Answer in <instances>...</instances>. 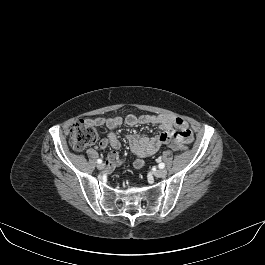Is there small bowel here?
Returning a JSON list of instances; mask_svg holds the SVG:
<instances>
[{"mask_svg":"<svg viewBox=\"0 0 265 265\" xmlns=\"http://www.w3.org/2000/svg\"><path fill=\"white\" fill-rule=\"evenodd\" d=\"M88 122L93 126H105L110 130L108 135L100 141L99 147L105 149L107 146H110L114 150L108 155V162L111 167L118 166L122 163V160L116 152L121 144L117 135L114 133V129L122 125L123 122L129 126L156 125L159 130V133L153 137L137 134L126 135V139L132 152L138 157L133 162L135 168H142L144 166L142 158L155 154L162 145L169 146L170 141L174 139L184 144H188L193 138L192 131L189 129L186 121L165 114H146L141 116L130 114L126 116L124 120L120 116L109 118L96 117L88 120Z\"/></svg>","mask_w":265,"mask_h":265,"instance_id":"obj_1","label":"small bowel"}]
</instances>
